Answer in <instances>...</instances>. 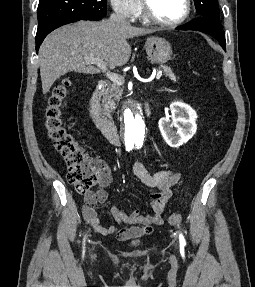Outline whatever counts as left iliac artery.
<instances>
[{
    "mask_svg": "<svg viewBox=\"0 0 255 287\" xmlns=\"http://www.w3.org/2000/svg\"><path fill=\"white\" fill-rule=\"evenodd\" d=\"M179 242L181 246H185L186 242L182 234L179 236Z\"/></svg>",
    "mask_w": 255,
    "mask_h": 287,
    "instance_id": "44dca946",
    "label": "left iliac artery"
}]
</instances>
